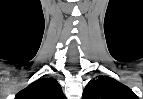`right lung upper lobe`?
Segmentation results:
<instances>
[{
	"instance_id": "obj_1",
	"label": "right lung upper lobe",
	"mask_w": 143,
	"mask_h": 99,
	"mask_svg": "<svg viewBox=\"0 0 143 99\" xmlns=\"http://www.w3.org/2000/svg\"><path fill=\"white\" fill-rule=\"evenodd\" d=\"M62 89L57 80L43 78L34 81L27 88L21 90L15 99H64Z\"/></svg>"
}]
</instances>
